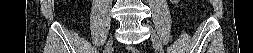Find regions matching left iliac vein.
Instances as JSON below:
<instances>
[{
  "label": "left iliac vein",
  "mask_w": 253,
  "mask_h": 53,
  "mask_svg": "<svg viewBox=\"0 0 253 53\" xmlns=\"http://www.w3.org/2000/svg\"><path fill=\"white\" fill-rule=\"evenodd\" d=\"M150 32H151V36H152V42H153V45L154 47L156 48V50L159 52V53H163V50L161 48V42L157 36V34L155 33L154 29L150 27Z\"/></svg>",
  "instance_id": "4c4485c4"
}]
</instances>
